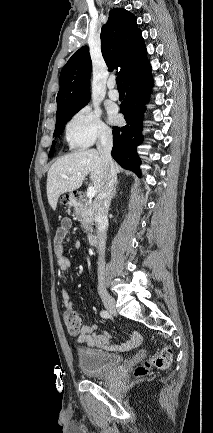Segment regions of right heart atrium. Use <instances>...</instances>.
<instances>
[{"instance_id": "obj_1", "label": "right heart atrium", "mask_w": 213, "mask_h": 433, "mask_svg": "<svg viewBox=\"0 0 213 433\" xmlns=\"http://www.w3.org/2000/svg\"><path fill=\"white\" fill-rule=\"evenodd\" d=\"M66 139L72 148H86L97 140H107L111 130L101 120L100 112L91 106L79 109L65 126Z\"/></svg>"}]
</instances>
